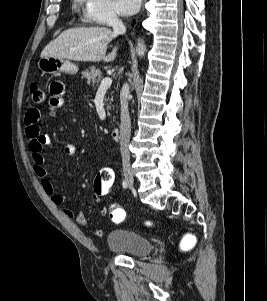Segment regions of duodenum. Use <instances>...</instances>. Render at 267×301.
Listing matches in <instances>:
<instances>
[{"instance_id": "obj_1", "label": "duodenum", "mask_w": 267, "mask_h": 301, "mask_svg": "<svg viewBox=\"0 0 267 301\" xmlns=\"http://www.w3.org/2000/svg\"><path fill=\"white\" fill-rule=\"evenodd\" d=\"M110 136L113 140H117L120 136V129L115 127L111 130Z\"/></svg>"}]
</instances>
